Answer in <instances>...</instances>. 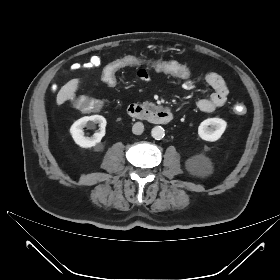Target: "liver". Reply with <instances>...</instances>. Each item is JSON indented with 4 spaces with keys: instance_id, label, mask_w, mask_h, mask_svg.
Wrapping results in <instances>:
<instances>
[{
    "instance_id": "1",
    "label": "liver",
    "mask_w": 280,
    "mask_h": 280,
    "mask_svg": "<svg viewBox=\"0 0 280 280\" xmlns=\"http://www.w3.org/2000/svg\"><path fill=\"white\" fill-rule=\"evenodd\" d=\"M79 82V79H72L69 82H67L64 86H62V88L57 94L56 102L58 105L63 104L70 97H73L75 95V92L78 90L79 87Z\"/></svg>"
}]
</instances>
